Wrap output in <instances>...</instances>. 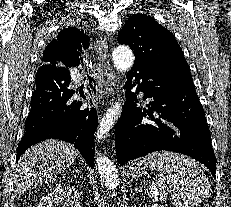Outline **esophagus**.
<instances>
[{
    "instance_id": "1",
    "label": "esophagus",
    "mask_w": 231,
    "mask_h": 207,
    "mask_svg": "<svg viewBox=\"0 0 231 207\" xmlns=\"http://www.w3.org/2000/svg\"><path fill=\"white\" fill-rule=\"evenodd\" d=\"M95 50L100 68V83L106 92H112L115 86V76L110 64L106 37H101L95 44Z\"/></svg>"
}]
</instances>
